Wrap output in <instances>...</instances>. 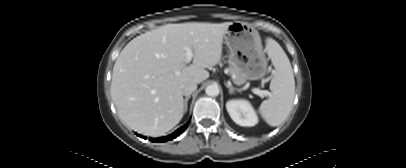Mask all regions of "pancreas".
<instances>
[{
  "label": "pancreas",
  "mask_w": 406,
  "mask_h": 168,
  "mask_svg": "<svg viewBox=\"0 0 406 168\" xmlns=\"http://www.w3.org/2000/svg\"><path fill=\"white\" fill-rule=\"evenodd\" d=\"M228 73L235 76L234 82H235L236 84H240V83L242 82L238 70H236V69L230 67V68H228Z\"/></svg>",
  "instance_id": "cf45deb5"
}]
</instances>
